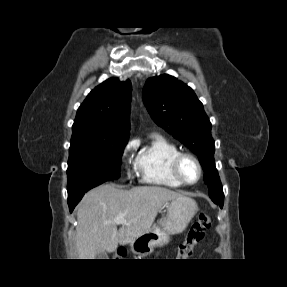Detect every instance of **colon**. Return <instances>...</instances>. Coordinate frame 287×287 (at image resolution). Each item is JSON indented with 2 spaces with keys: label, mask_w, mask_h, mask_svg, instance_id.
Returning a JSON list of instances; mask_svg holds the SVG:
<instances>
[{
  "label": "colon",
  "mask_w": 287,
  "mask_h": 287,
  "mask_svg": "<svg viewBox=\"0 0 287 287\" xmlns=\"http://www.w3.org/2000/svg\"><path fill=\"white\" fill-rule=\"evenodd\" d=\"M211 226L210 217L204 213L200 212L190 228L187 237L179 245L177 256L181 260L188 259L192 254L194 247L203 240L206 230ZM123 250H119V255H123Z\"/></svg>",
  "instance_id": "1"
}]
</instances>
